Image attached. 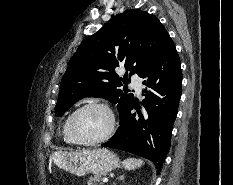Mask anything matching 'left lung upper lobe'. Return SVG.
<instances>
[{"instance_id":"left-lung-upper-lobe-1","label":"left lung upper lobe","mask_w":233,"mask_h":185,"mask_svg":"<svg viewBox=\"0 0 233 185\" xmlns=\"http://www.w3.org/2000/svg\"><path fill=\"white\" fill-rule=\"evenodd\" d=\"M168 37L163 24L148 12L130 9L113 17L86 38L69 61L61 81L56 116L81 98L94 96L118 103L121 119L133 94L118 88L122 82L127 83L128 75L119 78L115 68L121 65L130 71V76H140Z\"/></svg>"}]
</instances>
